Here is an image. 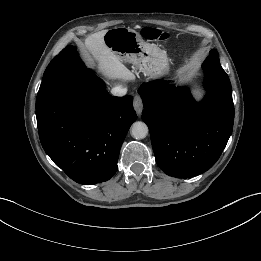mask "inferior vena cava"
Wrapping results in <instances>:
<instances>
[{
  "mask_svg": "<svg viewBox=\"0 0 261 261\" xmlns=\"http://www.w3.org/2000/svg\"><path fill=\"white\" fill-rule=\"evenodd\" d=\"M126 92H127L126 88H124L122 86L113 87L111 90V93L114 96H124L126 94Z\"/></svg>",
  "mask_w": 261,
  "mask_h": 261,
  "instance_id": "inferior-vena-cava-1",
  "label": "inferior vena cava"
}]
</instances>
